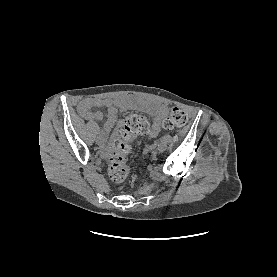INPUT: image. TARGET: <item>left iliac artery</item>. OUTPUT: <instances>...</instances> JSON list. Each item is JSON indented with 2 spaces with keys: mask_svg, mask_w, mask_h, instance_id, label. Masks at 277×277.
Listing matches in <instances>:
<instances>
[{
  "mask_svg": "<svg viewBox=\"0 0 277 277\" xmlns=\"http://www.w3.org/2000/svg\"><path fill=\"white\" fill-rule=\"evenodd\" d=\"M170 141V138L168 136H164L160 139V143H168Z\"/></svg>",
  "mask_w": 277,
  "mask_h": 277,
  "instance_id": "1",
  "label": "left iliac artery"
}]
</instances>
